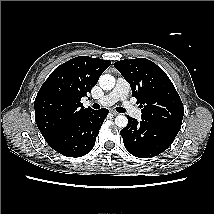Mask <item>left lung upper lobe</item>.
I'll return each instance as SVG.
<instances>
[{
  "instance_id": "5c2ea615",
  "label": "left lung upper lobe",
  "mask_w": 214,
  "mask_h": 214,
  "mask_svg": "<svg viewBox=\"0 0 214 214\" xmlns=\"http://www.w3.org/2000/svg\"><path fill=\"white\" fill-rule=\"evenodd\" d=\"M114 66L130 84L142 108L141 119L181 128L184 107L166 73L146 58L120 60Z\"/></svg>"
}]
</instances>
